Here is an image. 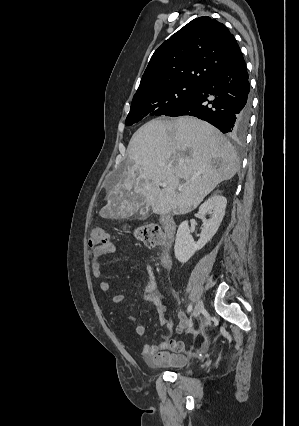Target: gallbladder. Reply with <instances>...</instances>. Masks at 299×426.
I'll return each instance as SVG.
<instances>
[{"label":"gallbladder","mask_w":299,"mask_h":426,"mask_svg":"<svg viewBox=\"0 0 299 426\" xmlns=\"http://www.w3.org/2000/svg\"><path fill=\"white\" fill-rule=\"evenodd\" d=\"M149 209L146 208H141L140 210V214L142 215V218H145L148 215Z\"/></svg>","instance_id":"obj_1"}]
</instances>
